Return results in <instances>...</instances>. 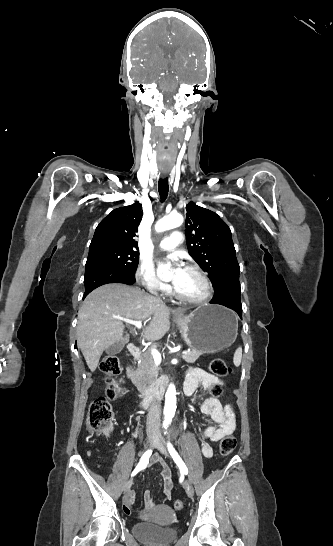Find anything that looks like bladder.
<instances>
[{
  "label": "bladder",
  "mask_w": 333,
  "mask_h": 546,
  "mask_svg": "<svg viewBox=\"0 0 333 546\" xmlns=\"http://www.w3.org/2000/svg\"><path fill=\"white\" fill-rule=\"evenodd\" d=\"M133 535L144 542L166 544L174 540L177 532L172 527H162L153 523H137L132 527Z\"/></svg>",
  "instance_id": "obj_1"
}]
</instances>
